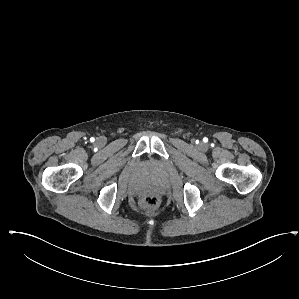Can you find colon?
Masks as SVG:
<instances>
[{
	"label": "colon",
	"instance_id": "5ec220e1",
	"mask_svg": "<svg viewBox=\"0 0 299 299\" xmlns=\"http://www.w3.org/2000/svg\"><path fill=\"white\" fill-rule=\"evenodd\" d=\"M158 198L155 195H147L140 201V205L145 210H153L158 206Z\"/></svg>",
	"mask_w": 299,
	"mask_h": 299
}]
</instances>
